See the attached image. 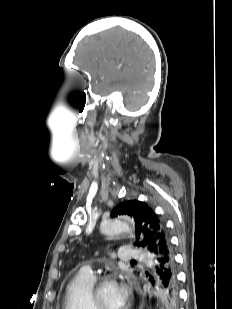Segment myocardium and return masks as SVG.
<instances>
[{
    "label": "myocardium",
    "mask_w": 232,
    "mask_h": 309,
    "mask_svg": "<svg viewBox=\"0 0 232 309\" xmlns=\"http://www.w3.org/2000/svg\"><path fill=\"white\" fill-rule=\"evenodd\" d=\"M110 282H118V277L115 273L101 275L94 281L90 289V302L93 309H104L100 304L98 292L103 285ZM129 306L130 303L128 302L125 306V309H129Z\"/></svg>",
    "instance_id": "myocardium-1"
}]
</instances>
